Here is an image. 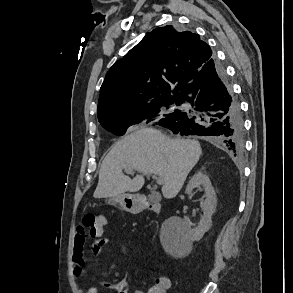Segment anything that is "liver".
Returning <instances> with one entry per match:
<instances>
[{
	"mask_svg": "<svg viewBox=\"0 0 293 293\" xmlns=\"http://www.w3.org/2000/svg\"><path fill=\"white\" fill-rule=\"evenodd\" d=\"M202 154L200 143L190 139H171L159 130L141 128L115 143L104 158L95 198H111L125 192H137L144 185V176L163 178L162 194L174 198ZM122 170H136L129 178Z\"/></svg>",
	"mask_w": 293,
	"mask_h": 293,
	"instance_id": "1",
	"label": "liver"
}]
</instances>
